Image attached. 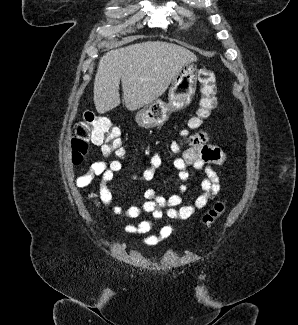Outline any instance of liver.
Wrapping results in <instances>:
<instances>
[{
	"label": "liver",
	"instance_id": "6515ba94",
	"mask_svg": "<svg viewBox=\"0 0 298 325\" xmlns=\"http://www.w3.org/2000/svg\"><path fill=\"white\" fill-rule=\"evenodd\" d=\"M196 60L189 48L165 40H146L108 50L101 56L95 74V108L103 114L120 104V82L128 110L147 106L165 94L183 64Z\"/></svg>",
	"mask_w": 298,
	"mask_h": 325
}]
</instances>
